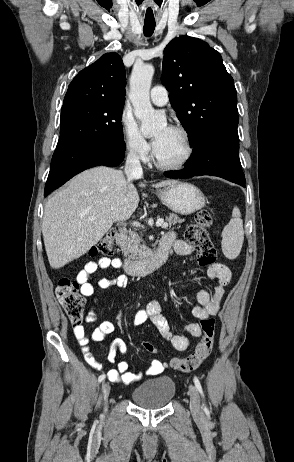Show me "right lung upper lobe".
Instances as JSON below:
<instances>
[{"label": "right lung upper lobe", "mask_w": 294, "mask_h": 462, "mask_svg": "<svg viewBox=\"0 0 294 462\" xmlns=\"http://www.w3.org/2000/svg\"><path fill=\"white\" fill-rule=\"evenodd\" d=\"M125 86L121 57L115 52L106 53L75 76L63 103L79 99L125 100Z\"/></svg>", "instance_id": "right-lung-upper-lobe-1"}]
</instances>
